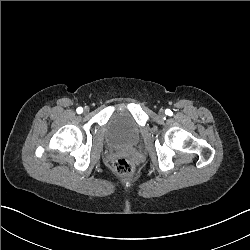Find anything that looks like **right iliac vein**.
<instances>
[{
    "mask_svg": "<svg viewBox=\"0 0 250 250\" xmlns=\"http://www.w3.org/2000/svg\"><path fill=\"white\" fill-rule=\"evenodd\" d=\"M84 111H85V112H88L89 110H88V108H87V107H85Z\"/></svg>",
    "mask_w": 250,
    "mask_h": 250,
    "instance_id": "63e3f726",
    "label": "right iliac vein"
}]
</instances>
